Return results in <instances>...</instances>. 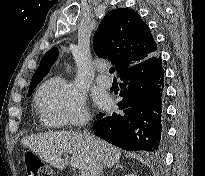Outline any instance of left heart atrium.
Here are the masks:
<instances>
[{
    "instance_id": "obj_1",
    "label": "left heart atrium",
    "mask_w": 205,
    "mask_h": 176,
    "mask_svg": "<svg viewBox=\"0 0 205 176\" xmlns=\"http://www.w3.org/2000/svg\"><path fill=\"white\" fill-rule=\"evenodd\" d=\"M106 104V102L105 101H102V105H105Z\"/></svg>"
}]
</instances>
